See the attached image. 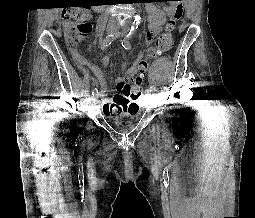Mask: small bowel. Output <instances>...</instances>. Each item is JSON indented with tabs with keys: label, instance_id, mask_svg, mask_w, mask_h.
Masks as SVG:
<instances>
[{
	"label": "small bowel",
	"instance_id": "obj_1",
	"mask_svg": "<svg viewBox=\"0 0 255 218\" xmlns=\"http://www.w3.org/2000/svg\"><path fill=\"white\" fill-rule=\"evenodd\" d=\"M177 7H180L182 9V2H180L178 5L175 3L165 5L162 8H158L154 4H148L146 6V11L148 14V32L146 34V43L148 45L151 44L153 39L159 33L160 28L165 21V18L167 16L172 15L176 11ZM158 55L159 53L152 51L151 48H148L146 54L145 55L140 54L138 58L135 60V62L127 69L126 78H124L123 76H120L115 79V82L117 84V90L114 93L113 97L105 105V108H104L105 114L117 113L116 110L121 105L129 103L130 96L124 90V86L131 84L134 81V79L137 77L138 72H140L139 64L141 62L145 63V69H146L148 65V60L150 58L157 57ZM82 62L84 66L88 68V70L91 72V75L88 76L89 79L95 83L100 95L103 96V94L108 91V83L104 77L103 72L96 65H93L91 63H90L91 65L86 66L85 63L87 61L84 59H81V64ZM102 62L104 66H108L109 57L104 56L102 58ZM124 68H125V64H123L122 66V69ZM143 72L139 74L140 78L143 77L144 75Z\"/></svg>",
	"mask_w": 255,
	"mask_h": 218
}]
</instances>
